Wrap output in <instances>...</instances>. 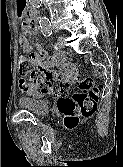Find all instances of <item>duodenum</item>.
<instances>
[{"instance_id":"410a0bca","label":"duodenum","mask_w":123,"mask_h":167,"mask_svg":"<svg viewBox=\"0 0 123 167\" xmlns=\"http://www.w3.org/2000/svg\"><path fill=\"white\" fill-rule=\"evenodd\" d=\"M30 15H31L32 18H34L36 20V23H37V20H38L37 14L34 11H31Z\"/></svg>"}]
</instances>
